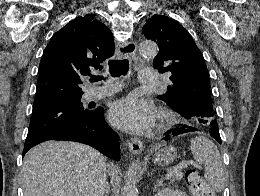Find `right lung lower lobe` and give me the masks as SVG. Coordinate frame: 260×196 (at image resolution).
<instances>
[{
    "instance_id": "98d812e1",
    "label": "right lung lower lobe",
    "mask_w": 260,
    "mask_h": 196,
    "mask_svg": "<svg viewBox=\"0 0 260 196\" xmlns=\"http://www.w3.org/2000/svg\"><path fill=\"white\" fill-rule=\"evenodd\" d=\"M104 110L99 107L92 116L79 124L43 132L27 138L23 156L33 146L47 140H64L84 143L114 160H120L119 136L106 123Z\"/></svg>"
}]
</instances>
